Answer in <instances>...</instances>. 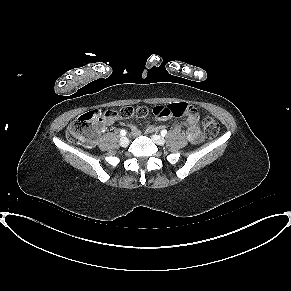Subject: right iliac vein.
I'll use <instances>...</instances> for the list:
<instances>
[{
    "label": "right iliac vein",
    "instance_id": "obj_1",
    "mask_svg": "<svg viewBox=\"0 0 291 291\" xmlns=\"http://www.w3.org/2000/svg\"><path fill=\"white\" fill-rule=\"evenodd\" d=\"M119 144L122 147H127L129 145V139L127 137H121Z\"/></svg>",
    "mask_w": 291,
    "mask_h": 291
}]
</instances>
